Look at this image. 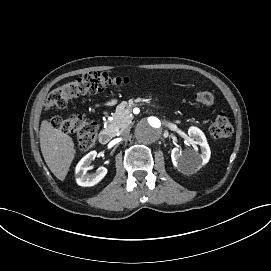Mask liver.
Segmentation results:
<instances>
[{
    "label": "liver",
    "instance_id": "liver-1",
    "mask_svg": "<svg viewBox=\"0 0 271 271\" xmlns=\"http://www.w3.org/2000/svg\"><path fill=\"white\" fill-rule=\"evenodd\" d=\"M39 135L41 151L47 166L56 178L63 181L76 152L72 138L55 129L47 120L42 121Z\"/></svg>",
    "mask_w": 271,
    "mask_h": 271
}]
</instances>
